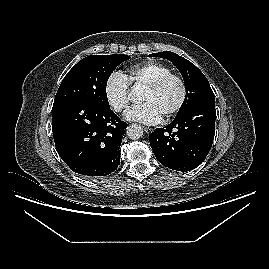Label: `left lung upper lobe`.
Wrapping results in <instances>:
<instances>
[{"label":"left lung upper lobe","instance_id":"left-lung-upper-lobe-1","mask_svg":"<svg viewBox=\"0 0 269 269\" xmlns=\"http://www.w3.org/2000/svg\"><path fill=\"white\" fill-rule=\"evenodd\" d=\"M149 57H161L170 60L180 71L186 87V98L176 117L186 113L198 102L213 98L214 93L204 74L190 61L170 51L153 53Z\"/></svg>","mask_w":269,"mask_h":269}]
</instances>
